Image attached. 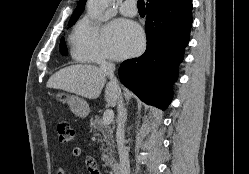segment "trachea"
I'll use <instances>...</instances> for the list:
<instances>
[{
    "instance_id": "1",
    "label": "trachea",
    "mask_w": 249,
    "mask_h": 174,
    "mask_svg": "<svg viewBox=\"0 0 249 174\" xmlns=\"http://www.w3.org/2000/svg\"><path fill=\"white\" fill-rule=\"evenodd\" d=\"M137 7L139 10H145V2L144 0H138Z\"/></svg>"
}]
</instances>
